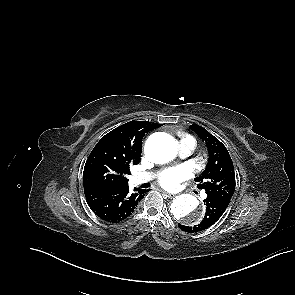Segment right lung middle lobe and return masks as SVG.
<instances>
[{
    "instance_id": "obj_1",
    "label": "right lung middle lobe",
    "mask_w": 295,
    "mask_h": 295,
    "mask_svg": "<svg viewBox=\"0 0 295 295\" xmlns=\"http://www.w3.org/2000/svg\"><path fill=\"white\" fill-rule=\"evenodd\" d=\"M139 161V158L124 153L109 143H97L84 167V189L127 185L126 175L130 174V166Z\"/></svg>"
}]
</instances>
